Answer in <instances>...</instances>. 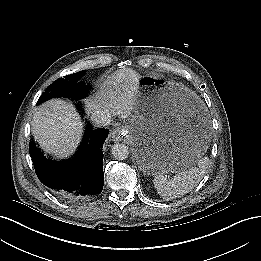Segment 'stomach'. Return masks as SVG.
I'll return each instance as SVG.
<instances>
[{"mask_svg":"<svg viewBox=\"0 0 261 261\" xmlns=\"http://www.w3.org/2000/svg\"><path fill=\"white\" fill-rule=\"evenodd\" d=\"M193 99L172 82L149 76L140 79L136 109L125 132L141 171L186 170L204 155L209 137L190 124Z\"/></svg>","mask_w":261,"mask_h":261,"instance_id":"stomach-1","label":"stomach"}]
</instances>
